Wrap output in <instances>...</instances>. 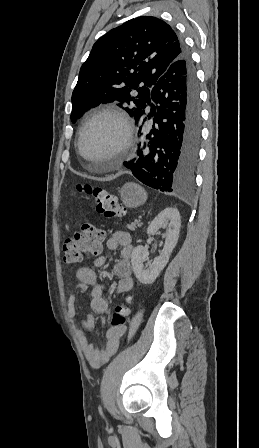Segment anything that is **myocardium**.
Here are the masks:
<instances>
[{"label":"myocardium","instance_id":"myocardium-1","mask_svg":"<svg viewBox=\"0 0 259 448\" xmlns=\"http://www.w3.org/2000/svg\"><path fill=\"white\" fill-rule=\"evenodd\" d=\"M101 117H113L118 120L121 125V135L118 141L111 148V157L113 159H119L129 148L133 134V125L129 115L124 110L118 107H106L92 113L81 126L77 137L76 150V154L79 158H81V139L85 129L90 123Z\"/></svg>","mask_w":259,"mask_h":448}]
</instances>
